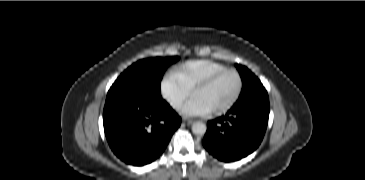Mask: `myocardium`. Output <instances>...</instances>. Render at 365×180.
I'll list each match as a JSON object with an SVG mask.
<instances>
[{
	"label": "myocardium",
	"mask_w": 365,
	"mask_h": 180,
	"mask_svg": "<svg viewBox=\"0 0 365 180\" xmlns=\"http://www.w3.org/2000/svg\"><path fill=\"white\" fill-rule=\"evenodd\" d=\"M227 73H234L238 78V87H237L236 93L234 94L232 99L228 103H226L225 105H223L221 107H218V108H215L213 110H210L209 111L210 114L220 115V114H223V113L229 111L230 109H232L235 106V104L238 102V100H239V98L242 94L243 87H244V80H243V77H242L241 73L235 68H227L223 71L218 72L217 74L213 75L212 77L208 78L207 80H205L204 82L199 84L191 92V96L194 99L197 93H199L200 91L206 89L207 87L212 85L214 82H216L218 79H220L222 76H224Z\"/></svg>",
	"instance_id": "1"
}]
</instances>
